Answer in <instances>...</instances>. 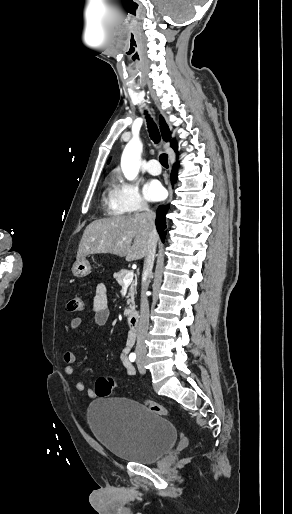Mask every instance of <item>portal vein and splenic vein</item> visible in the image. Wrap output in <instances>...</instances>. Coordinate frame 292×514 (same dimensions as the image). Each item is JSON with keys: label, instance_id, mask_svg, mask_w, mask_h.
<instances>
[{"label": "portal vein and splenic vein", "instance_id": "portal-vein-and-splenic-vein-1", "mask_svg": "<svg viewBox=\"0 0 292 514\" xmlns=\"http://www.w3.org/2000/svg\"><path fill=\"white\" fill-rule=\"evenodd\" d=\"M133 276H134V272H129V274H127V276H125V278H124L125 286H129V284H131V282L133 280Z\"/></svg>", "mask_w": 292, "mask_h": 514}]
</instances>
